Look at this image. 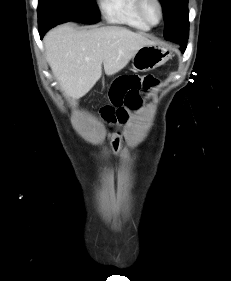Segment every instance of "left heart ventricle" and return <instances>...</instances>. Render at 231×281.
<instances>
[{
	"instance_id": "b2bd125f",
	"label": "left heart ventricle",
	"mask_w": 231,
	"mask_h": 281,
	"mask_svg": "<svg viewBox=\"0 0 231 281\" xmlns=\"http://www.w3.org/2000/svg\"><path fill=\"white\" fill-rule=\"evenodd\" d=\"M145 9L149 19L153 22H157L159 19V10L156 4L151 1H148L146 3Z\"/></svg>"
}]
</instances>
